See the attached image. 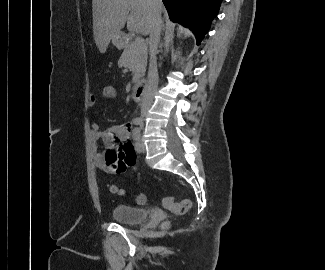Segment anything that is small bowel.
Segmentation results:
<instances>
[{
  "mask_svg": "<svg viewBox=\"0 0 325 270\" xmlns=\"http://www.w3.org/2000/svg\"><path fill=\"white\" fill-rule=\"evenodd\" d=\"M115 89V88H114ZM97 97H88L89 106L97 104ZM132 125L130 122L113 125L101 130L96 121L90 123V133L92 142V154L95 166L107 174L124 172L128 167H132L136 161V155L131 146ZM102 142L104 151L98 150V143Z\"/></svg>",
  "mask_w": 325,
  "mask_h": 270,
  "instance_id": "c3829d8e",
  "label": "small bowel"
}]
</instances>
